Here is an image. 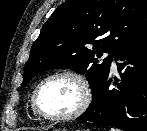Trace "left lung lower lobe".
<instances>
[{
  "mask_svg": "<svg viewBox=\"0 0 147 131\" xmlns=\"http://www.w3.org/2000/svg\"><path fill=\"white\" fill-rule=\"evenodd\" d=\"M115 58L120 74V80L115 78L116 87L109 89L107 75L77 120L123 131H147V32L126 44Z\"/></svg>",
  "mask_w": 147,
  "mask_h": 131,
  "instance_id": "obj_1",
  "label": "left lung lower lobe"
}]
</instances>
